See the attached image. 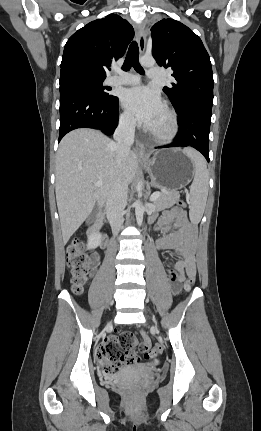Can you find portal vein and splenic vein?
I'll return each instance as SVG.
<instances>
[{
    "mask_svg": "<svg viewBox=\"0 0 261 431\" xmlns=\"http://www.w3.org/2000/svg\"><path fill=\"white\" fill-rule=\"evenodd\" d=\"M95 187H101L102 186V182H96L94 183ZM160 196V192H155L151 195L150 197V201L153 202L155 201L158 197Z\"/></svg>",
    "mask_w": 261,
    "mask_h": 431,
    "instance_id": "18ae733b",
    "label": "portal vein and splenic vein"
}]
</instances>
